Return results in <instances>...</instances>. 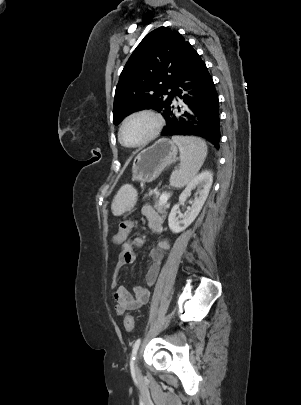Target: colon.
Segmentation results:
<instances>
[{
    "instance_id": "obj_1",
    "label": "colon",
    "mask_w": 301,
    "mask_h": 405,
    "mask_svg": "<svg viewBox=\"0 0 301 405\" xmlns=\"http://www.w3.org/2000/svg\"><path fill=\"white\" fill-rule=\"evenodd\" d=\"M138 221L131 219H121L118 222V232L113 234L112 242L116 247H122L123 243L126 242L128 234L136 227ZM124 327L127 332H132L134 329V318L132 315L128 314L124 318Z\"/></svg>"
}]
</instances>
